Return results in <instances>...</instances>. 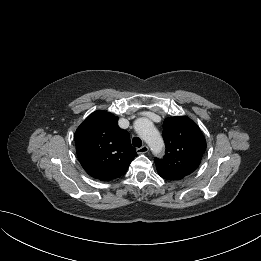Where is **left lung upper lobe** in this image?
Returning <instances> with one entry per match:
<instances>
[{
	"mask_svg": "<svg viewBox=\"0 0 261 261\" xmlns=\"http://www.w3.org/2000/svg\"><path fill=\"white\" fill-rule=\"evenodd\" d=\"M166 152L163 159L155 158L158 174L167 180H181L194 172L206 150L202 131L190 118L175 116L163 123Z\"/></svg>",
	"mask_w": 261,
	"mask_h": 261,
	"instance_id": "1",
	"label": "left lung upper lobe"
}]
</instances>
